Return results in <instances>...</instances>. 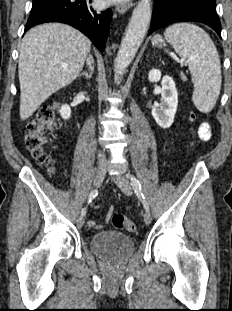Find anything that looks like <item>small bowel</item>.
Segmentation results:
<instances>
[{
  "label": "small bowel",
  "mask_w": 232,
  "mask_h": 311,
  "mask_svg": "<svg viewBox=\"0 0 232 311\" xmlns=\"http://www.w3.org/2000/svg\"><path fill=\"white\" fill-rule=\"evenodd\" d=\"M199 135L205 141L210 139V137H211V135H210V125L208 123H203L201 125V127L199 129ZM88 225L91 228L95 229V230H100V229L103 228L102 225L97 224L96 221L92 220V219L88 221Z\"/></svg>",
  "instance_id": "1"
}]
</instances>
